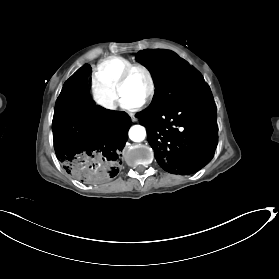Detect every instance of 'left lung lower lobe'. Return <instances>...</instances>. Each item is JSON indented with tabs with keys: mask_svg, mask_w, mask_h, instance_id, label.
Here are the masks:
<instances>
[{
	"mask_svg": "<svg viewBox=\"0 0 279 279\" xmlns=\"http://www.w3.org/2000/svg\"><path fill=\"white\" fill-rule=\"evenodd\" d=\"M147 129L158 164L172 174H192L213 158L217 145L216 106L208 85L161 112L136 115Z\"/></svg>",
	"mask_w": 279,
	"mask_h": 279,
	"instance_id": "obj_1",
	"label": "left lung lower lobe"
}]
</instances>
